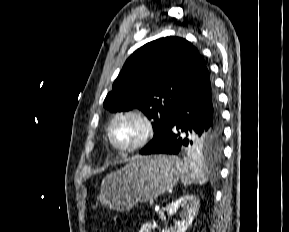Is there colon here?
Returning a JSON list of instances; mask_svg holds the SVG:
<instances>
[{
  "label": "colon",
  "instance_id": "colon-1",
  "mask_svg": "<svg viewBox=\"0 0 289 232\" xmlns=\"http://www.w3.org/2000/svg\"><path fill=\"white\" fill-rule=\"evenodd\" d=\"M95 232H103V231H101V230H96Z\"/></svg>",
  "mask_w": 289,
  "mask_h": 232
}]
</instances>
